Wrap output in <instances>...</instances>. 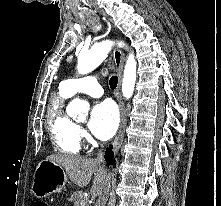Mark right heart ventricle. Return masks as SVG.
I'll return each mask as SVG.
<instances>
[{"mask_svg":"<svg viewBox=\"0 0 221 206\" xmlns=\"http://www.w3.org/2000/svg\"><path fill=\"white\" fill-rule=\"evenodd\" d=\"M71 95L59 87L58 93L51 97L47 128L53 146L66 154H77L80 150V134L78 125L64 112L63 106Z\"/></svg>","mask_w":221,"mask_h":206,"instance_id":"obj_1","label":"right heart ventricle"}]
</instances>
